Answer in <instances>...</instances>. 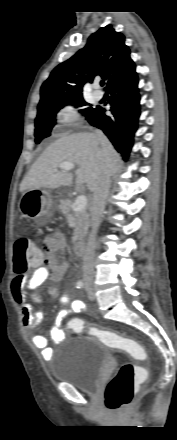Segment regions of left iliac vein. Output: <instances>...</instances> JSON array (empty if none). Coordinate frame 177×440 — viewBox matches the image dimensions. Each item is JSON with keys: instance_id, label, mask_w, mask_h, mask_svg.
Returning a JSON list of instances; mask_svg holds the SVG:
<instances>
[{"instance_id": "left-iliac-vein-1", "label": "left iliac vein", "mask_w": 177, "mask_h": 440, "mask_svg": "<svg viewBox=\"0 0 177 440\" xmlns=\"http://www.w3.org/2000/svg\"><path fill=\"white\" fill-rule=\"evenodd\" d=\"M87 295L90 300H94L95 296H94V292L92 289L87 288Z\"/></svg>"}]
</instances>
